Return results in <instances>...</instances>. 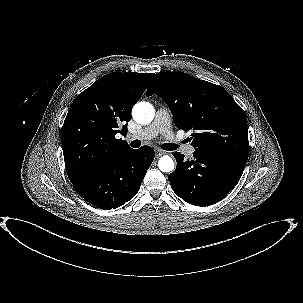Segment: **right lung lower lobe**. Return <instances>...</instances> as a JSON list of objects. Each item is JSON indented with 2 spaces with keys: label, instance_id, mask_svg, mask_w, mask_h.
<instances>
[{
  "label": "right lung lower lobe",
  "instance_id": "1",
  "mask_svg": "<svg viewBox=\"0 0 303 303\" xmlns=\"http://www.w3.org/2000/svg\"><path fill=\"white\" fill-rule=\"evenodd\" d=\"M153 159L154 151L148 146L132 149L73 183L74 189L96 207L118 208L136 195Z\"/></svg>",
  "mask_w": 303,
  "mask_h": 303
}]
</instances>
